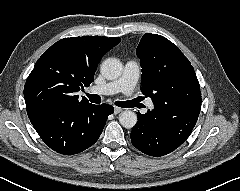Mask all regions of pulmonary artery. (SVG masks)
Instances as JSON below:
<instances>
[{"instance_id": "e3ab8cb5", "label": "pulmonary artery", "mask_w": 240, "mask_h": 191, "mask_svg": "<svg viewBox=\"0 0 240 191\" xmlns=\"http://www.w3.org/2000/svg\"><path fill=\"white\" fill-rule=\"evenodd\" d=\"M139 65L137 62L131 60L126 62L122 75L105 85L94 86L91 88V92L96 94H115L122 92L125 95H130L135 89L137 81L139 79ZM148 108H153V103L151 100L146 101Z\"/></svg>"}]
</instances>
